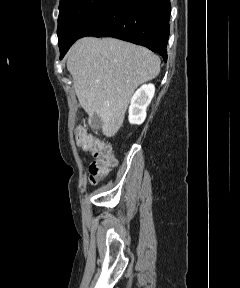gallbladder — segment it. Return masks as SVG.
Returning <instances> with one entry per match:
<instances>
[{
  "label": "gallbladder",
  "instance_id": "gallbladder-1",
  "mask_svg": "<svg viewBox=\"0 0 240 288\" xmlns=\"http://www.w3.org/2000/svg\"><path fill=\"white\" fill-rule=\"evenodd\" d=\"M91 121L93 123H97L99 121V117L97 116V114H95V113L93 114Z\"/></svg>",
  "mask_w": 240,
  "mask_h": 288
}]
</instances>
